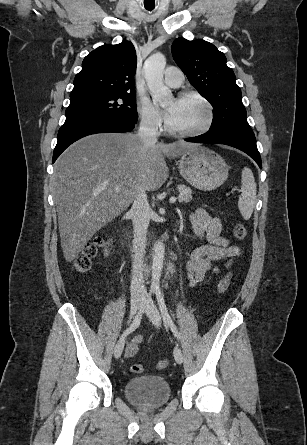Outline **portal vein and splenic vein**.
<instances>
[{"label":"portal vein and splenic vein","instance_id":"18ae733b","mask_svg":"<svg viewBox=\"0 0 307 445\" xmlns=\"http://www.w3.org/2000/svg\"><path fill=\"white\" fill-rule=\"evenodd\" d=\"M116 190H119V186H116ZM176 198L175 196H171L170 202H175Z\"/></svg>","mask_w":307,"mask_h":445}]
</instances>
